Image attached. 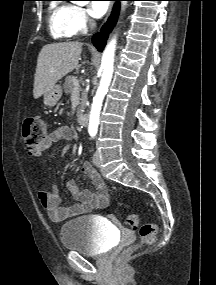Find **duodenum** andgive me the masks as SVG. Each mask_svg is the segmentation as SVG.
Listing matches in <instances>:
<instances>
[{"label": "duodenum", "mask_w": 216, "mask_h": 285, "mask_svg": "<svg viewBox=\"0 0 216 285\" xmlns=\"http://www.w3.org/2000/svg\"><path fill=\"white\" fill-rule=\"evenodd\" d=\"M88 122H89V118H88V115L86 113H80L78 115V123L81 126H87Z\"/></svg>", "instance_id": "1"}]
</instances>
